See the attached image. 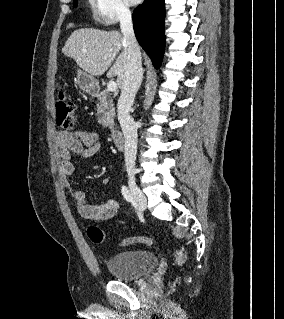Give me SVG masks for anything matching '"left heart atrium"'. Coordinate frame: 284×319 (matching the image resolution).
<instances>
[{
    "mask_svg": "<svg viewBox=\"0 0 284 319\" xmlns=\"http://www.w3.org/2000/svg\"><path fill=\"white\" fill-rule=\"evenodd\" d=\"M142 0H127V2L129 3V4H132V5H135V4H138V3H140Z\"/></svg>",
    "mask_w": 284,
    "mask_h": 319,
    "instance_id": "39dd6f15",
    "label": "left heart atrium"
}]
</instances>
